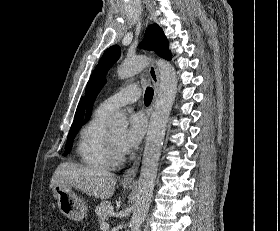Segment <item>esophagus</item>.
Wrapping results in <instances>:
<instances>
[{
  "mask_svg": "<svg viewBox=\"0 0 280 231\" xmlns=\"http://www.w3.org/2000/svg\"><path fill=\"white\" fill-rule=\"evenodd\" d=\"M149 76L152 80V83L154 85V99L153 104L158 92L159 84H160V78H159V71L158 68L155 65H151L148 69ZM141 152L133 162V164L126 170V172L123 174L121 181H133L135 179V176L137 174V171L139 169L140 163H141Z\"/></svg>",
  "mask_w": 280,
  "mask_h": 231,
  "instance_id": "esophagus-1",
  "label": "esophagus"
}]
</instances>
